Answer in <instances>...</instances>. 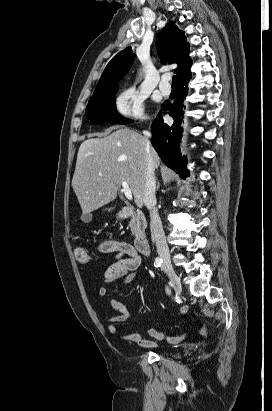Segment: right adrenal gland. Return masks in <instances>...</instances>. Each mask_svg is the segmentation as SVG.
Wrapping results in <instances>:
<instances>
[{
    "mask_svg": "<svg viewBox=\"0 0 272 411\" xmlns=\"http://www.w3.org/2000/svg\"><path fill=\"white\" fill-rule=\"evenodd\" d=\"M159 187H160V183H159V181L157 182V190H159Z\"/></svg>",
    "mask_w": 272,
    "mask_h": 411,
    "instance_id": "obj_1",
    "label": "right adrenal gland"
}]
</instances>
